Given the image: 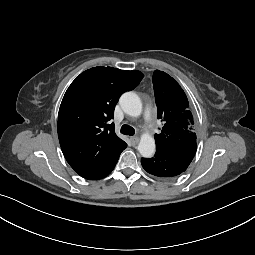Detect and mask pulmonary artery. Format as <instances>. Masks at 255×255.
I'll return each instance as SVG.
<instances>
[{"instance_id": "1", "label": "pulmonary artery", "mask_w": 255, "mask_h": 255, "mask_svg": "<svg viewBox=\"0 0 255 255\" xmlns=\"http://www.w3.org/2000/svg\"><path fill=\"white\" fill-rule=\"evenodd\" d=\"M144 121L146 124H148L149 126L152 125V117H151V111L149 108H146L145 112H144Z\"/></svg>"}]
</instances>
